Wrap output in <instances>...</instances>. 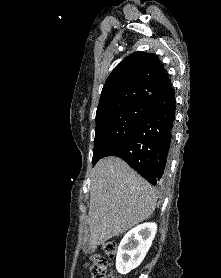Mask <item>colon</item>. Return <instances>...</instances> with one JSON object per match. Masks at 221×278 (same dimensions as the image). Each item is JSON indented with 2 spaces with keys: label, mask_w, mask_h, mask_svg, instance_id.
<instances>
[{
  "label": "colon",
  "mask_w": 221,
  "mask_h": 278,
  "mask_svg": "<svg viewBox=\"0 0 221 278\" xmlns=\"http://www.w3.org/2000/svg\"><path fill=\"white\" fill-rule=\"evenodd\" d=\"M103 251L110 259H114L116 257L117 244L114 241H106L103 244ZM106 266V258L100 254H95L89 267L91 278H122L108 276L106 274Z\"/></svg>",
  "instance_id": "1"
}]
</instances>
